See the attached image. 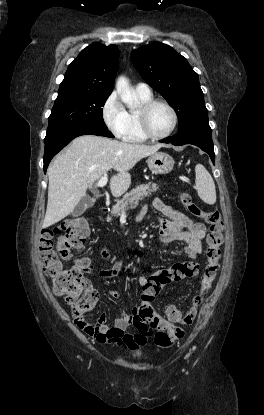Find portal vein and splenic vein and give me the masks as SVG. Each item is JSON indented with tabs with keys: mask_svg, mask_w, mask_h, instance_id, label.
<instances>
[{
	"mask_svg": "<svg viewBox=\"0 0 264 415\" xmlns=\"http://www.w3.org/2000/svg\"><path fill=\"white\" fill-rule=\"evenodd\" d=\"M108 182V178L107 175H104L103 177H101V179L98 181L97 186L98 187H104ZM124 213V212H123Z\"/></svg>",
	"mask_w": 264,
	"mask_h": 415,
	"instance_id": "18ae733b",
	"label": "portal vein and splenic vein"
}]
</instances>
